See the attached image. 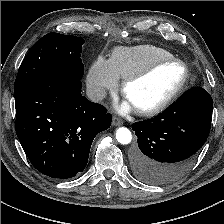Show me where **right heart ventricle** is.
Wrapping results in <instances>:
<instances>
[{
    "label": "right heart ventricle",
    "instance_id": "1",
    "mask_svg": "<svg viewBox=\"0 0 224 224\" xmlns=\"http://www.w3.org/2000/svg\"><path fill=\"white\" fill-rule=\"evenodd\" d=\"M170 57L173 55L168 50L155 45L144 44L115 48L109 62L115 75L119 79H125L155 60Z\"/></svg>",
    "mask_w": 224,
    "mask_h": 224
}]
</instances>
